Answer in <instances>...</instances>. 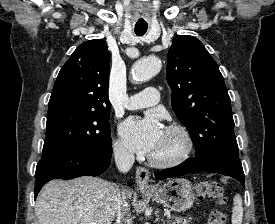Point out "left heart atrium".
Segmentation results:
<instances>
[{
  "instance_id": "left-heart-atrium-1",
  "label": "left heart atrium",
  "mask_w": 275,
  "mask_h": 224,
  "mask_svg": "<svg viewBox=\"0 0 275 224\" xmlns=\"http://www.w3.org/2000/svg\"><path fill=\"white\" fill-rule=\"evenodd\" d=\"M164 129L157 116L131 117L120 126L125 145L138 154H152L159 146Z\"/></svg>"
}]
</instances>
